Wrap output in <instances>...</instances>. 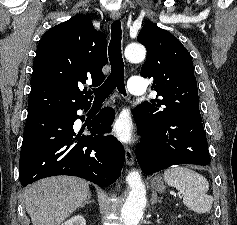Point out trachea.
<instances>
[{
  "label": "trachea",
  "mask_w": 237,
  "mask_h": 225,
  "mask_svg": "<svg viewBox=\"0 0 237 225\" xmlns=\"http://www.w3.org/2000/svg\"><path fill=\"white\" fill-rule=\"evenodd\" d=\"M111 35L108 48L111 73L100 87L93 90L95 100L106 99L115 88H117L120 93L126 94L124 85V62L121 53L122 30L120 20H116L112 23Z\"/></svg>",
  "instance_id": "trachea-1"
}]
</instances>
